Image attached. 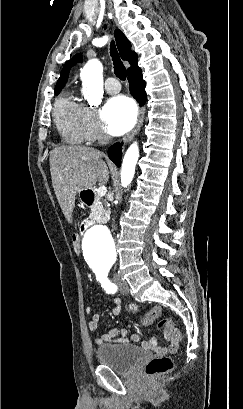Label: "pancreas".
<instances>
[{
    "instance_id": "obj_1",
    "label": "pancreas",
    "mask_w": 243,
    "mask_h": 409,
    "mask_svg": "<svg viewBox=\"0 0 243 409\" xmlns=\"http://www.w3.org/2000/svg\"><path fill=\"white\" fill-rule=\"evenodd\" d=\"M96 198L99 199V195H96ZM110 211L101 202H96L91 207L90 218L96 222L103 223L106 222L109 217Z\"/></svg>"
}]
</instances>
